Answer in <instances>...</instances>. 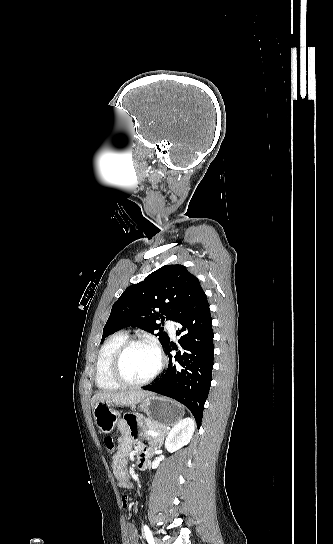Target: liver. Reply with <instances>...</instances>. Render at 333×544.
Masks as SVG:
<instances>
[{
	"label": "liver",
	"mask_w": 333,
	"mask_h": 544,
	"mask_svg": "<svg viewBox=\"0 0 333 544\" xmlns=\"http://www.w3.org/2000/svg\"><path fill=\"white\" fill-rule=\"evenodd\" d=\"M151 393L143 390H125L119 392L104 391L96 393L91 399L92 409L96 402H109L118 405H135L140 403L145 397L150 396Z\"/></svg>",
	"instance_id": "1"
}]
</instances>
